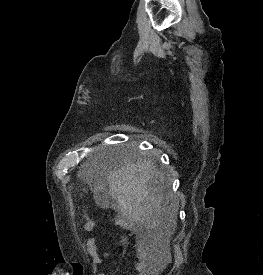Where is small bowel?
<instances>
[{
    "instance_id": "small-bowel-1",
    "label": "small bowel",
    "mask_w": 263,
    "mask_h": 275,
    "mask_svg": "<svg viewBox=\"0 0 263 275\" xmlns=\"http://www.w3.org/2000/svg\"><path fill=\"white\" fill-rule=\"evenodd\" d=\"M96 227L95 221H88L84 225L85 231H91ZM96 238L92 237L87 241V250L93 259V266L101 263V258L97 252ZM137 262L135 265L136 275H154L155 269L149 261V250L141 240L136 241ZM98 275H105L100 273Z\"/></svg>"
}]
</instances>
